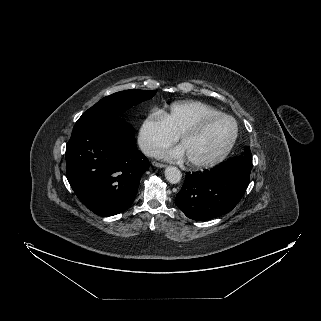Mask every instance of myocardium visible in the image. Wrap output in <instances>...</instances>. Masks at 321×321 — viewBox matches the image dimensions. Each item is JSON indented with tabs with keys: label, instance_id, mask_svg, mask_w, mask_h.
<instances>
[{
	"label": "myocardium",
	"instance_id": "myocardium-1",
	"mask_svg": "<svg viewBox=\"0 0 321 321\" xmlns=\"http://www.w3.org/2000/svg\"><path fill=\"white\" fill-rule=\"evenodd\" d=\"M220 118L228 119L233 123L234 129H233V134H232L230 141L225 146V148L221 151V153L211 160L198 161V160L188 159V163L192 167L198 168V169H207V168H212V167L220 164L221 162H223L225 160V158L229 155V153L231 152V150L233 149V147L236 143L238 133H239L238 123L235 120V118L232 117L231 115H228L225 113L211 114V115H207V116L202 117L201 119H199L198 121H196L195 123L190 125L189 127L185 128L177 136L179 142L182 143V141L186 137H189V136H192V135L198 133L207 123H209L215 119H220Z\"/></svg>",
	"mask_w": 321,
	"mask_h": 321
}]
</instances>
